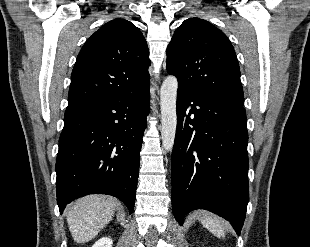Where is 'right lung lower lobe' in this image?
<instances>
[{"mask_svg": "<svg viewBox=\"0 0 310 247\" xmlns=\"http://www.w3.org/2000/svg\"><path fill=\"white\" fill-rule=\"evenodd\" d=\"M149 99L148 86L67 106L56 160L61 214L66 204L94 193L113 195L133 212Z\"/></svg>", "mask_w": 310, "mask_h": 247, "instance_id": "1", "label": "right lung lower lobe"}]
</instances>
